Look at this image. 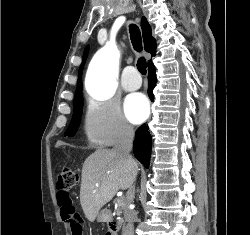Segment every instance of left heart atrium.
<instances>
[{
	"instance_id": "left-heart-atrium-1",
	"label": "left heart atrium",
	"mask_w": 250,
	"mask_h": 235,
	"mask_svg": "<svg viewBox=\"0 0 250 235\" xmlns=\"http://www.w3.org/2000/svg\"><path fill=\"white\" fill-rule=\"evenodd\" d=\"M148 111V102L141 94L130 96L125 103L126 115L134 123L142 122L147 117Z\"/></svg>"
}]
</instances>
